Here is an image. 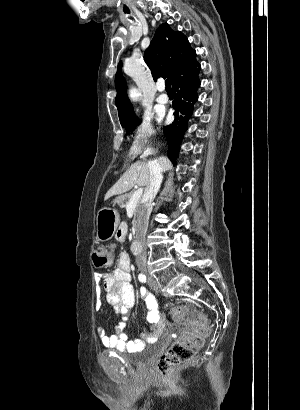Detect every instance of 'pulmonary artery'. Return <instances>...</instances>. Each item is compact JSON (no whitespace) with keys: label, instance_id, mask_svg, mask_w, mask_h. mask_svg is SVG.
Listing matches in <instances>:
<instances>
[{"label":"pulmonary artery","instance_id":"obj_1","mask_svg":"<svg viewBox=\"0 0 300 410\" xmlns=\"http://www.w3.org/2000/svg\"><path fill=\"white\" fill-rule=\"evenodd\" d=\"M157 89H158V92H159V95L157 97V101L160 104H166L168 102V96L166 95V93L164 91L165 90L164 83L159 82L158 85H157Z\"/></svg>","mask_w":300,"mask_h":410}]
</instances>
